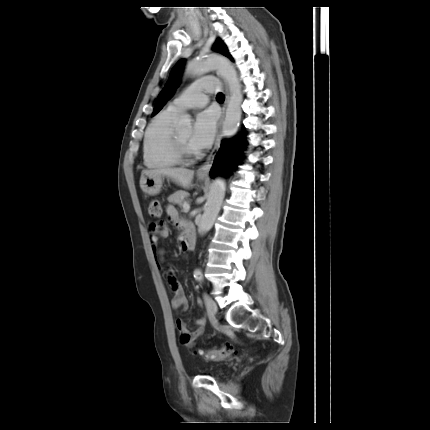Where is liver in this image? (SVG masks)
Returning a JSON list of instances; mask_svg holds the SVG:
<instances>
[{"instance_id": "liver-1", "label": "liver", "mask_w": 430, "mask_h": 430, "mask_svg": "<svg viewBox=\"0 0 430 430\" xmlns=\"http://www.w3.org/2000/svg\"><path fill=\"white\" fill-rule=\"evenodd\" d=\"M145 174H157L167 176L183 188H189L194 176V171L186 168L167 167L160 169L144 170L142 171L141 176Z\"/></svg>"}]
</instances>
